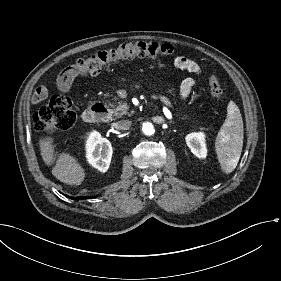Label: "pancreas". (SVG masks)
<instances>
[{
	"instance_id": "cf45deb5",
	"label": "pancreas",
	"mask_w": 281,
	"mask_h": 281,
	"mask_svg": "<svg viewBox=\"0 0 281 281\" xmlns=\"http://www.w3.org/2000/svg\"><path fill=\"white\" fill-rule=\"evenodd\" d=\"M166 98V97H164ZM168 99V98H167ZM171 106V105H170ZM128 105L127 103H123V104H119L115 109H114V112H113V116L114 118H120L122 117L124 114H127V110H128Z\"/></svg>"
}]
</instances>
